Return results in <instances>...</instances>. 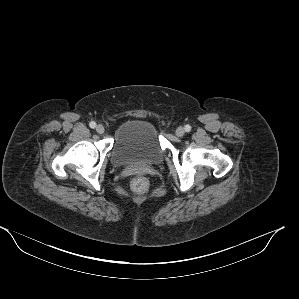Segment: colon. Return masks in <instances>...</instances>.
<instances>
[{
	"label": "colon",
	"instance_id": "obj_1",
	"mask_svg": "<svg viewBox=\"0 0 299 299\" xmlns=\"http://www.w3.org/2000/svg\"><path fill=\"white\" fill-rule=\"evenodd\" d=\"M131 187L135 192L144 194L149 190V181L144 176H137L132 180Z\"/></svg>",
	"mask_w": 299,
	"mask_h": 299
}]
</instances>
